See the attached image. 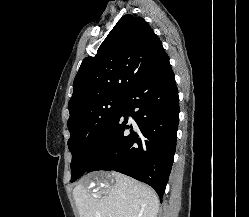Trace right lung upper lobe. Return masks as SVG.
Returning <instances> with one entry per match:
<instances>
[{
	"label": "right lung upper lobe",
	"instance_id": "cb5924a9",
	"mask_svg": "<svg viewBox=\"0 0 249 217\" xmlns=\"http://www.w3.org/2000/svg\"><path fill=\"white\" fill-rule=\"evenodd\" d=\"M163 54L161 41L142 17L123 16L97 54L83 60L69 112L99 98L126 96Z\"/></svg>",
	"mask_w": 249,
	"mask_h": 217
}]
</instances>
